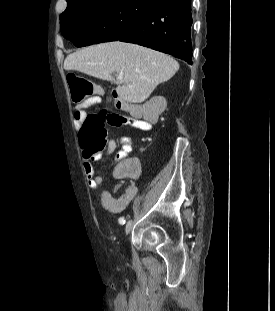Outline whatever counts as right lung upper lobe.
<instances>
[{
  "label": "right lung upper lobe",
  "mask_w": 275,
  "mask_h": 311,
  "mask_svg": "<svg viewBox=\"0 0 275 311\" xmlns=\"http://www.w3.org/2000/svg\"><path fill=\"white\" fill-rule=\"evenodd\" d=\"M75 1H83V0H67V4H69L71 2H75Z\"/></svg>",
  "instance_id": "1"
}]
</instances>
